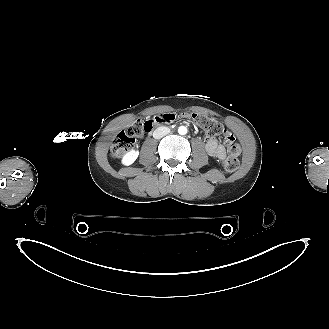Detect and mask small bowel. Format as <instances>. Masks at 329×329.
I'll return each instance as SVG.
<instances>
[{"label": "small bowel", "mask_w": 329, "mask_h": 329, "mask_svg": "<svg viewBox=\"0 0 329 329\" xmlns=\"http://www.w3.org/2000/svg\"><path fill=\"white\" fill-rule=\"evenodd\" d=\"M155 120L157 123H170L173 124L176 122L177 117L175 114L170 112H162L156 115ZM206 152L216 158L217 160L223 162L225 161L229 156H237L240 152V149L236 145H232L228 147L227 149L223 146L218 144L214 140H209L206 144Z\"/></svg>", "instance_id": "obj_1"}]
</instances>
